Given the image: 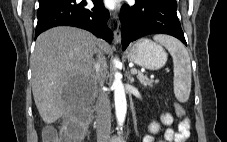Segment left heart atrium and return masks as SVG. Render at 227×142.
Masks as SVG:
<instances>
[{
	"instance_id": "obj_1",
	"label": "left heart atrium",
	"mask_w": 227,
	"mask_h": 142,
	"mask_svg": "<svg viewBox=\"0 0 227 142\" xmlns=\"http://www.w3.org/2000/svg\"><path fill=\"white\" fill-rule=\"evenodd\" d=\"M120 0H104L105 2V5L108 7V8H114L116 7L117 3L119 2Z\"/></svg>"
}]
</instances>
